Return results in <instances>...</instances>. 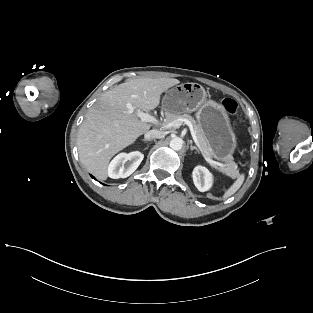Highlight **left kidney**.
<instances>
[{
	"label": "left kidney",
	"instance_id": "obj_1",
	"mask_svg": "<svg viewBox=\"0 0 313 313\" xmlns=\"http://www.w3.org/2000/svg\"><path fill=\"white\" fill-rule=\"evenodd\" d=\"M193 182L200 192H205L212 185V175L209 170L203 166H196L193 170Z\"/></svg>",
	"mask_w": 313,
	"mask_h": 313
}]
</instances>
